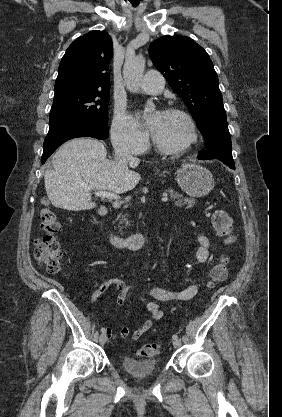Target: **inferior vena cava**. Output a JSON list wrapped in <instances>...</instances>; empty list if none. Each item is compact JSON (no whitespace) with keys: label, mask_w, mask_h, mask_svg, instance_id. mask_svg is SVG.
<instances>
[{"label":"inferior vena cava","mask_w":282,"mask_h":417,"mask_svg":"<svg viewBox=\"0 0 282 417\" xmlns=\"http://www.w3.org/2000/svg\"><path fill=\"white\" fill-rule=\"evenodd\" d=\"M115 150L116 160H121V162H130L133 160L134 156H131L129 150H126L124 144H113Z\"/></svg>","instance_id":"1"}]
</instances>
